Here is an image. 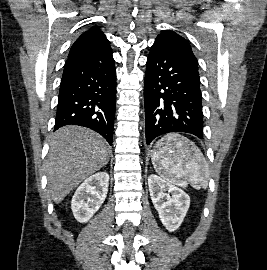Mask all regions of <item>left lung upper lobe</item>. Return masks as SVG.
Segmentation results:
<instances>
[{"label": "left lung upper lobe", "mask_w": 267, "mask_h": 270, "mask_svg": "<svg viewBox=\"0 0 267 270\" xmlns=\"http://www.w3.org/2000/svg\"><path fill=\"white\" fill-rule=\"evenodd\" d=\"M154 43H158L169 49L174 50L177 54L186 58V60L192 62L198 67V62L194 56L191 46L186 39L178 35L177 33L166 30L159 34Z\"/></svg>", "instance_id": "left-lung-upper-lobe-1"}]
</instances>
